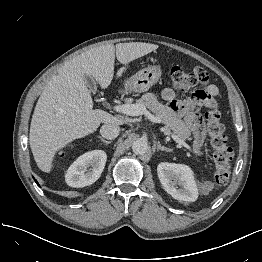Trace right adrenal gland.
<instances>
[{
    "instance_id": "2a0ac1e0",
    "label": "right adrenal gland",
    "mask_w": 262,
    "mask_h": 262,
    "mask_svg": "<svg viewBox=\"0 0 262 262\" xmlns=\"http://www.w3.org/2000/svg\"><path fill=\"white\" fill-rule=\"evenodd\" d=\"M98 138L103 142V143H105L106 145H108V144H110L112 141H107V140H105L103 137H101V136H98Z\"/></svg>"
}]
</instances>
